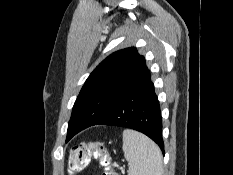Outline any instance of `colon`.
Returning <instances> with one entry per match:
<instances>
[{"label": "colon", "instance_id": "1", "mask_svg": "<svg viewBox=\"0 0 233 175\" xmlns=\"http://www.w3.org/2000/svg\"><path fill=\"white\" fill-rule=\"evenodd\" d=\"M92 157L98 160L102 175H120L113 168L112 156L102 141H90L73 146L68 157L69 173L76 174L84 170Z\"/></svg>", "mask_w": 233, "mask_h": 175}]
</instances>
